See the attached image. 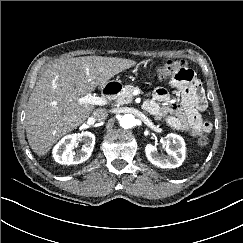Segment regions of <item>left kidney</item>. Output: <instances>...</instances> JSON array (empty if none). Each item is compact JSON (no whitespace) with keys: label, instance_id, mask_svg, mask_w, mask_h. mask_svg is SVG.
<instances>
[{"label":"left kidney","instance_id":"left-kidney-1","mask_svg":"<svg viewBox=\"0 0 243 243\" xmlns=\"http://www.w3.org/2000/svg\"><path fill=\"white\" fill-rule=\"evenodd\" d=\"M167 156L159 155L156 146L147 144L145 147V153L147 159L155 166L160 168H177L182 165L186 147L184 139L177 134L170 133L166 136V148Z\"/></svg>","mask_w":243,"mask_h":243}]
</instances>
